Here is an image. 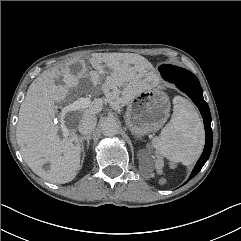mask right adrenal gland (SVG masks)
<instances>
[{
  "mask_svg": "<svg viewBox=\"0 0 241 241\" xmlns=\"http://www.w3.org/2000/svg\"><path fill=\"white\" fill-rule=\"evenodd\" d=\"M90 139H91V135L80 137L79 143L81 145V149H82L83 154H84V141H87V149H88L89 146H90Z\"/></svg>",
  "mask_w": 241,
  "mask_h": 241,
  "instance_id": "2a0ac1e0",
  "label": "right adrenal gland"
}]
</instances>
